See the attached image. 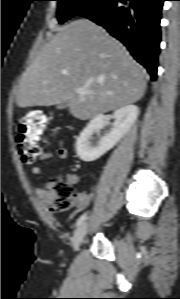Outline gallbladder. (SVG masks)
<instances>
[{
	"mask_svg": "<svg viewBox=\"0 0 180 299\" xmlns=\"http://www.w3.org/2000/svg\"><path fill=\"white\" fill-rule=\"evenodd\" d=\"M66 107H67L66 103H61V104L57 105V109H59V110L64 109Z\"/></svg>",
	"mask_w": 180,
	"mask_h": 299,
	"instance_id": "gallbladder-1",
	"label": "gallbladder"
}]
</instances>
